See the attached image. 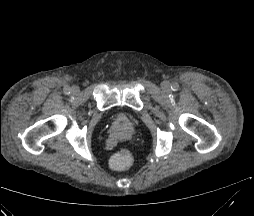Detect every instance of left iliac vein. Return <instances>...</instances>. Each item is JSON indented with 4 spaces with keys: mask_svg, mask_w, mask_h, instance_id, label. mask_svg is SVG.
<instances>
[{
    "mask_svg": "<svg viewBox=\"0 0 254 216\" xmlns=\"http://www.w3.org/2000/svg\"><path fill=\"white\" fill-rule=\"evenodd\" d=\"M162 88L164 91L168 92L170 90V85L167 81L162 83Z\"/></svg>",
    "mask_w": 254,
    "mask_h": 216,
    "instance_id": "1",
    "label": "left iliac vein"
}]
</instances>
